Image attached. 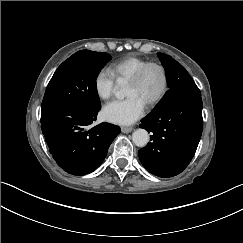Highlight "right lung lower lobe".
I'll return each instance as SVG.
<instances>
[{
  "label": "right lung lower lobe",
  "instance_id": "98d812e1",
  "mask_svg": "<svg viewBox=\"0 0 243 243\" xmlns=\"http://www.w3.org/2000/svg\"><path fill=\"white\" fill-rule=\"evenodd\" d=\"M99 110L65 106L41 115V129L49 151L69 174L85 175L98 168L120 132L118 126L105 122L87 130Z\"/></svg>",
  "mask_w": 243,
  "mask_h": 243
}]
</instances>
